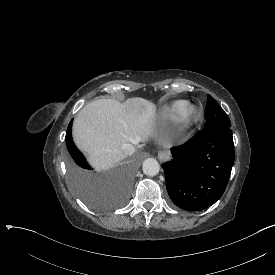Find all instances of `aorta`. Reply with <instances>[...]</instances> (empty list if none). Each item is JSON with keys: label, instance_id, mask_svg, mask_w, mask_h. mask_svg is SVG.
<instances>
[{"label": "aorta", "instance_id": "aorta-1", "mask_svg": "<svg viewBox=\"0 0 275 275\" xmlns=\"http://www.w3.org/2000/svg\"><path fill=\"white\" fill-rule=\"evenodd\" d=\"M142 168L144 174L153 176L159 171V163L155 158H146L143 161Z\"/></svg>", "mask_w": 275, "mask_h": 275}]
</instances>
